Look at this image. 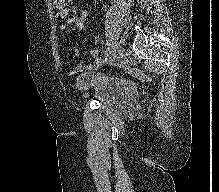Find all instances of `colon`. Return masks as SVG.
Listing matches in <instances>:
<instances>
[{"mask_svg": "<svg viewBox=\"0 0 219 192\" xmlns=\"http://www.w3.org/2000/svg\"><path fill=\"white\" fill-rule=\"evenodd\" d=\"M65 0H54V4L56 7L63 5ZM136 74V72L134 73Z\"/></svg>", "mask_w": 219, "mask_h": 192, "instance_id": "5ec220e1", "label": "colon"}]
</instances>
